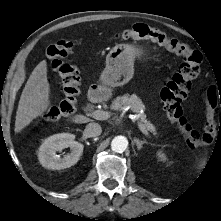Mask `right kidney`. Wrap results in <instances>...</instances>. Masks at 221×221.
<instances>
[{
  "instance_id": "obj_1",
  "label": "right kidney",
  "mask_w": 221,
  "mask_h": 221,
  "mask_svg": "<svg viewBox=\"0 0 221 221\" xmlns=\"http://www.w3.org/2000/svg\"><path fill=\"white\" fill-rule=\"evenodd\" d=\"M75 136L69 133H60L48 137L40 146L38 158L41 165L52 170L69 168L76 164L83 153V144L74 140ZM70 147L71 153L59 157L56 152Z\"/></svg>"
}]
</instances>
